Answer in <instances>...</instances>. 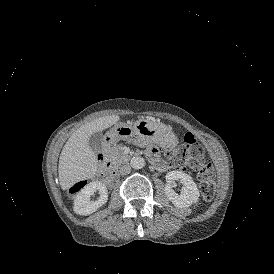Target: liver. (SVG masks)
<instances>
[{
  "label": "liver",
  "instance_id": "liver-1",
  "mask_svg": "<svg viewBox=\"0 0 274 274\" xmlns=\"http://www.w3.org/2000/svg\"><path fill=\"white\" fill-rule=\"evenodd\" d=\"M119 119L118 115L100 117L72 133L59 158L58 173L62 190H68L75 183L95 176L98 159L89 145V138L116 124Z\"/></svg>",
  "mask_w": 274,
  "mask_h": 274
}]
</instances>
